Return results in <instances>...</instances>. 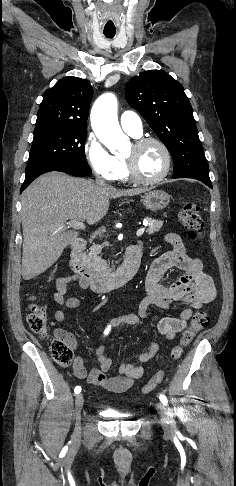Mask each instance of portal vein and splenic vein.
<instances>
[{
    "mask_svg": "<svg viewBox=\"0 0 236 486\" xmlns=\"http://www.w3.org/2000/svg\"><path fill=\"white\" fill-rule=\"evenodd\" d=\"M70 225L75 228V229H85V225L83 222H79V221H73L72 223H70ZM145 231V228L144 227H141L137 232H136V235L137 237H140Z\"/></svg>",
    "mask_w": 236,
    "mask_h": 486,
    "instance_id": "18ae733b",
    "label": "portal vein and splenic vein"
}]
</instances>
